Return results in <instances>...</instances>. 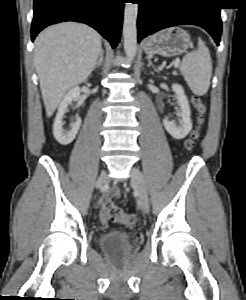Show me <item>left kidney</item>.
Here are the masks:
<instances>
[{
    "instance_id": "obj_1",
    "label": "left kidney",
    "mask_w": 246,
    "mask_h": 300,
    "mask_svg": "<svg viewBox=\"0 0 246 300\" xmlns=\"http://www.w3.org/2000/svg\"><path fill=\"white\" fill-rule=\"evenodd\" d=\"M172 89L176 93L177 102L180 106L179 115L181 119L179 125H177L175 121H169L167 118H164L163 125L173 138L180 140L185 138L192 130L191 110L183 87L179 84H173Z\"/></svg>"
}]
</instances>
